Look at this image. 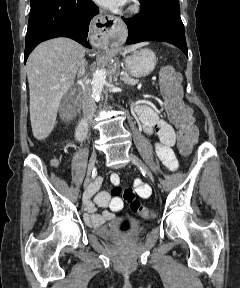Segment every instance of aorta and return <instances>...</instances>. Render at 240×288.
<instances>
[{"mask_svg":"<svg viewBox=\"0 0 240 288\" xmlns=\"http://www.w3.org/2000/svg\"><path fill=\"white\" fill-rule=\"evenodd\" d=\"M105 82H106V70L105 69L97 70L94 73L92 79V96L96 101L100 100Z\"/></svg>","mask_w":240,"mask_h":288,"instance_id":"762f6f07","label":"aorta"}]
</instances>
